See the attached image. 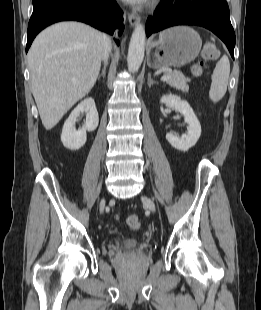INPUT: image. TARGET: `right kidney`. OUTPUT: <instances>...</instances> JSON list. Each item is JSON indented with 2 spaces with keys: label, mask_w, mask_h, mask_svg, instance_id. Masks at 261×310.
<instances>
[{
  "label": "right kidney",
  "mask_w": 261,
  "mask_h": 310,
  "mask_svg": "<svg viewBox=\"0 0 261 310\" xmlns=\"http://www.w3.org/2000/svg\"><path fill=\"white\" fill-rule=\"evenodd\" d=\"M86 113V123L79 130L75 128V122L81 113ZM99 123L98 112L92 98H86L71 112L65 121L61 141L70 150H78L86 143V131H94Z\"/></svg>",
  "instance_id": "obj_1"
}]
</instances>
